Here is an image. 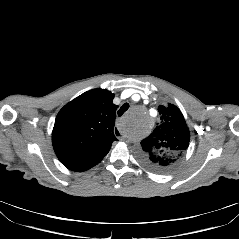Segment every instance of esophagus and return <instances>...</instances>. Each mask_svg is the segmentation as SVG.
Instances as JSON below:
<instances>
[{"label":"esophagus","mask_w":239,"mask_h":239,"mask_svg":"<svg viewBox=\"0 0 239 239\" xmlns=\"http://www.w3.org/2000/svg\"><path fill=\"white\" fill-rule=\"evenodd\" d=\"M113 132H114L115 136H117L118 139H120V140L124 139L125 136H124V134L121 133L119 128H117V127L114 128Z\"/></svg>","instance_id":"esophagus-1"}]
</instances>
